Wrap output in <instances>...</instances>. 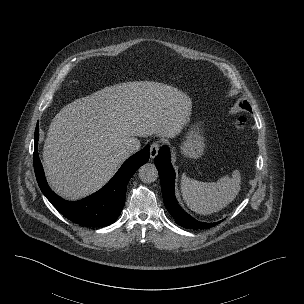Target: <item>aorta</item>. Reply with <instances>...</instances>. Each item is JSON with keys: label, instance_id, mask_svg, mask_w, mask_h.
Wrapping results in <instances>:
<instances>
[{"label": "aorta", "instance_id": "aorta-1", "mask_svg": "<svg viewBox=\"0 0 304 304\" xmlns=\"http://www.w3.org/2000/svg\"><path fill=\"white\" fill-rule=\"evenodd\" d=\"M138 176L144 183H152L158 178V171L154 164L147 163L138 170Z\"/></svg>", "mask_w": 304, "mask_h": 304}]
</instances>
